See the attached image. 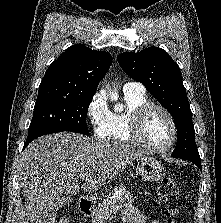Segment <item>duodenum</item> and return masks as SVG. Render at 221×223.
I'll return each mask as SVG.
<instances>
[{"mask_svg": "<svg viewBox=\"0 0 221 223\" xmlns=\"http://www.w3.org/2000/svg\"><path fill=\"white\" fill-rule=\"evenodd\" d=\"M92 210V202L90 198L84 197L79 200V211L83 217H87Z\"/></svg>", "mask_w": 221, "mask_h": 223, "instance_id": "duodenum-1", "label": "duodenum"}]
</instances>
